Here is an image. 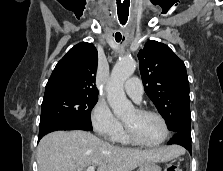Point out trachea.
I'll return each instance as SVG.
<instances>
[{"label":"trachea","instance_id":"trachea-1","mask_svg":"<svg viewBox=\"0 0 223 171\" xmlns=\"http://www.w3.org/2000/svg\"><path fill=\"white\" fill-rule=\"evenodd\" d=\"M115 40H116L117 42H120V41H121V37H116V36H115ZM123 40H124V38H123Z\"/></svg>","mask_w":223,"mask_h":171}]
</instances>
